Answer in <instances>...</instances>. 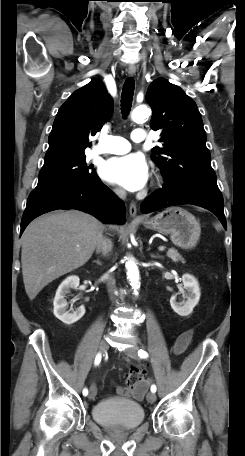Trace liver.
I'll return each instance as SVG.
<instances>
[{
  "mask_svg": "<svg viewBox=\"0 0 245 456\" xmlns=\"http://www.w3.org/2000/svg\"><path fill=\"white\" fill-rule=\"evenodd\" d=\"M103 225L77 210L57 211L32 221L22 235V275L30 300L50 282L91 258Z\"/></svg>",
  "mask_w": 245,
  "mask_h": 456,
  "instance_id": "6515ba94",
  "label": "liver"
}]
</instances>
